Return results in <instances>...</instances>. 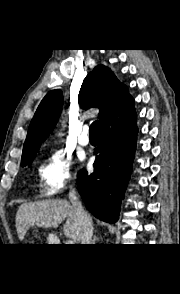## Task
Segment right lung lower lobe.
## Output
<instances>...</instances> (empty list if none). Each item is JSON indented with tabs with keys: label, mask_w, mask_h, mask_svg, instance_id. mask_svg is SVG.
<instances>
[{
	"label": "right lung lower lobe",
	"mask_w": 180,
	"mask_h": 294,
	"mask_svg": "<svg viewBox=\"0 0 180 294\" xmlns=\"http://www.w3.org/2000/svg\"><path fill=\"white\" fill-rule=\"evenodd\" d=\"M136 111L130 99L100 124L99 142L94 153V172L80 170L79 192L88 210L97 218L118 220L121 199L132 171L137 141Z\"/></svg>",
	"instance_id": "obj_1"
}]
</instances>
